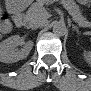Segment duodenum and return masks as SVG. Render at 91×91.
Listing matches in <instances>:
<instances>
[{
  "label": "duodenum",
  "mask_w": 91,
  "mask_h": 91,
  "mask_svg": "<svg viewBox=\"0 0 91 91\" xmlns=\"http://www.w3.org/2000/svg\"><path fill=\"white\" fill-rule=\"evenodd\" d=\"M24 18L22 13H18L15 18V26L21 29L24 26Z\"/></svg>",
  "instance_id": "obj_1"
}]
</instances>
